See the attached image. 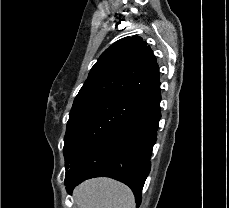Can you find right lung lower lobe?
I'll use <instances>...</instances> for the list:
<instances>
[{
  "label": "right lung lower lobe",
  "mask_w": 229,
  "mask_h": 208,
  "mask_svg": "<svg viewBox=\"0 0 229 208\" xmlns=\"http://www.w3.org/2000/svg\"><path fill=\"white\" fill-rule=\"evenodd\" d=\"M159 97L143 110L92 145L65 176L71 193L80 182L93 177H111L128 185L137 208L150 172L152 148L161 118Z\"/></svg>",
  "instance_id": "right-lung-lower-lobe-1"
}]
</instances>
